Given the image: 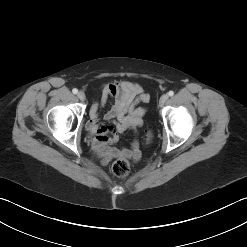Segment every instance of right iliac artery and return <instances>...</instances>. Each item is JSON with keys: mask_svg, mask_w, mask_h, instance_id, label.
Instances as JSON below:
<instances>
[{"mask_svg": "<svg viewBox=\"0 0 247 247\" xmlns=\"http://www.w3.org/2000/svg\"><path fill=\"white\" fill-rule=\"evenodd\" d=\"M72 92H73L74 94H77V93H78V90H77L76 88H74V89L72 90Z\"/></svg>", "mask_w": 247, "mask_h": 247, "instance_id": "1", "label": "right iliac artery"}]
</instances>
